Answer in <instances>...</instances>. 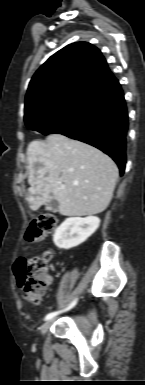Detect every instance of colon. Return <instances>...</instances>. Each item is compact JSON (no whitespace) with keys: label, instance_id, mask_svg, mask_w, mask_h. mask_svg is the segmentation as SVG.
Returning <instances> with one entry per match:
<instances>
[{"label":"colon","instance_id":"1","mask_svg":"<svg viewBox=\"0 0 145 385\" xmlns=\"http://www.w3.org/2000/svg\"><path fill=\"white\" fill-rule=\"evenodd\" d=\"M56 225L57 219L54 215H39L28 226L25 241L27 243L42 241L54 231ZM51 257V253L46 251L42 255L22 258L15 265L17 285L32 304H40L46 294L50 284V276L46 270Z\"/></svg>","mask_w":145,"mask_h":385}]
</instances>
